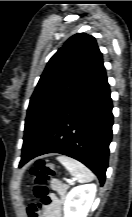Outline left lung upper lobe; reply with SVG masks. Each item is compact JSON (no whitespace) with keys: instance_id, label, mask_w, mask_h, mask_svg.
Listing matches in <instances>:
<instances>
[{"instance_id":"left-lung-upper-lobe-1","label":"left lung upper lobe","mask_w":132,"mask_h":217,"mask_svg":"<svg viewBox=\"0 0 132 217\" xmlns=\"http://www.w3.org/2000/svg\"><path fill=\"white\" fill-rule=\"evenodd\" d=\"M103 65L93 36L70 37L49 60L30 99L22 151L32 152Z\"/></svg>"}]
</instances>
